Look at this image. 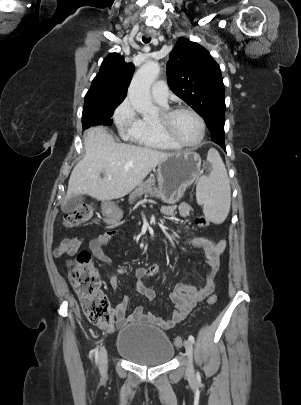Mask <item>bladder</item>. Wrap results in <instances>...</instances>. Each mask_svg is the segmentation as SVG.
I'll return each instance as SVG.
<instances>
[{"label": "bladder", "instance_id": "31cf9c89", "mask_svg": "<svg viewBox=\"0 0 301 405\" xmlns=\"http://www.w3.org/2000/svg\"><path fill=\"white\" fill-rule=\"evenodd\" d=\"M116 350L125 359L145 366L165 364L174 355V347L167 334L150 325H130L121 329Z\"/></svg>", "mask_w": 301, "mask_h": 405}]
</instances>
